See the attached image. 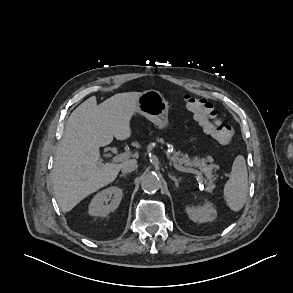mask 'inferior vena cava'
<instances>
[{"mask_svg":"<svg viewBox=\"0 0 293 293\" xmlns=\"http://www.w3.org/2000/svg\"><path fill=\"white\" fill-rule=\"evenodd\" d=\"M138 167L136 160H128L121 165V171L122 173H130L134 170H136Z\"/></svg>","mask_w":293,"mask_h":293,"instance_id":"602c4592","label":"inferior vena cava"}]
</instances>
